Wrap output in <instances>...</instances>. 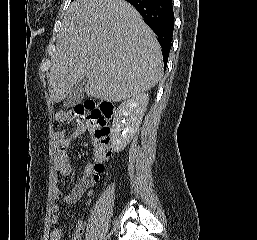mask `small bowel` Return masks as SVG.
Segmentation results:
<instances>
[{"instance_id":"c3829d8e","label":"small bowel","mask_w":257,"mask_h":240,"mask_svg":"<svg viewBox=\"0 0 257 240\" xmlns=\"http://www.w3.org/2000/svg\"><path fill=\"white\" fill-rule=\"evenodd\" d=\"M82 129V127L78 128L72 135H67L65 131H58L54 135V170L62 177H67L72 173V165L69 160L68 149L72 138L77 136ZM97 179L98 178L95 177L93 173V164L90 163L86 165L81 178L68 193H63L57 187L54 188L55 199L63 200L66 203H74L82 197V195L97 181ZM58 211L59 206L57 204H53L51 206L50 216V222L52 225H55L58 222ZM73 236L74 240H83L84 226L81 222L77 223ZM62 238L63 235L60 229L54 228L50 232V240H62Z\"/></svg>"}]
</instances>
